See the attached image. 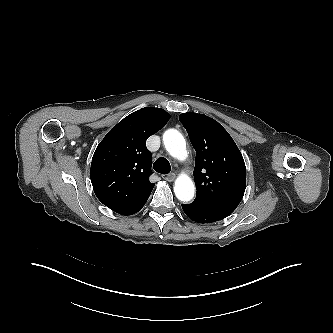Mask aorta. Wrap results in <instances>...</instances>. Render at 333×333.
<instances>
[{
  "label": "aorta",
  "instance_id": "762f6f07",
  "mask_svg": "<svg viewBox=\"0 0 333 333\" xmlns=\"http://www.w3.org/2000/svg\"><path fill=\"white\" fill-rule=\"evenodd\" d=\"M163 143L167 152L178 160H183L186 155V142L183 135L176 129H169L163 134ZM195 186L190 177L180 175L174 185L176 197L183 202H188L194 197Z\"/></svg>",
  "mask_w": 333,
  "mask_h": 333
}]
</instances>
